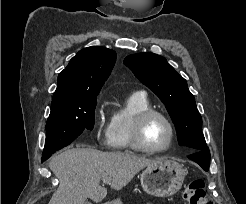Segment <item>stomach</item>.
I'll use <instances>...</instances> for the list:
<instances>
[{"mask_svg": "<svg viewBox=\"0 0 246 204\" xmlns=\"http://www.w3.org/2000/svg\"><path fill=\"white\" fill-rule=\"evenodd\" d=\"M185 175L186 172L182 164L160 159L142 171L140 181L147 194L156 197H169L180 190ZM109 204L122 203L120 199H115Z\"/></svg>", "mask_w": 246, "mask_h": 204, "instance_id": "obj_1", "label": "stomach"}]
</instances>
